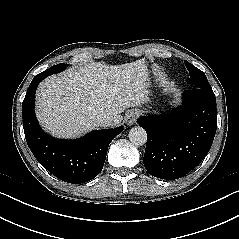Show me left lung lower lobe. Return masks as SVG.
I'll return each mask as SVG.
<instances>
[{
	"label": "left lung lower lobe",
	"mask_w": 239,
	"mask_h": 239,
	"mask_svg": "<svg viewBox=\"0 0 239 239\" xmlns=\"http://www.w3.org/2000/svg\"><path fill=\"white\" fill-rule=\"evenodd\" d=\"M182 98V106L172 113L137 120L147 132L144 166L157 178L185 176L204 159L213 143L217 111L212 88H193L184 91Z\"/></svg>",
	"instance_id": "1"
}]
</instances>
